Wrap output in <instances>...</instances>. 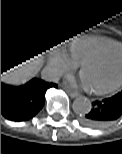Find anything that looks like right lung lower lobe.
Listing matches in <instances>:
<instances>
[{
    "instance_id": "98d812e1",
    "label": "right lung lower lobe",
    "mask_w": 122,
    "mask_h": 154,
    "mask_svg": "<svg viewBox=\"0 0 122 154\" xmlns=\"http://www.w3.org/2000/svg\"><path fill=\"white\" fill-rule=\"evenodd\" d=\"M56 84L32 79L21 86L1 83V114L12 121L33 118L45 104V92Z\"/></svg>"
}]
</instances>
